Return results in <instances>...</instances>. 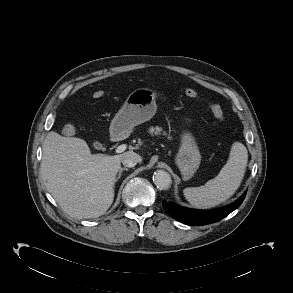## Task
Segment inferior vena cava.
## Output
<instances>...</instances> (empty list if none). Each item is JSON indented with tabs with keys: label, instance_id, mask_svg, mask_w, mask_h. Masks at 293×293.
Segmentation results:
<instances>
[{
	"label": "inferior vena cava",
	"instance_id": "inferior-vena-cava-1",
	"mask_svg": "<svg viewBox=\"0 0 293 293\" xmlns=\"http://www.w3.org/2000/svg\"><path fill=\"white\" fill-rule=\"evenodd\" d=\"M140 161L139 155L134 152H127L124 154L121 162L126 167H134Z\"/></svg>",
	"mask_w": 293,
	"mask_h": 293
}]
</instances>
